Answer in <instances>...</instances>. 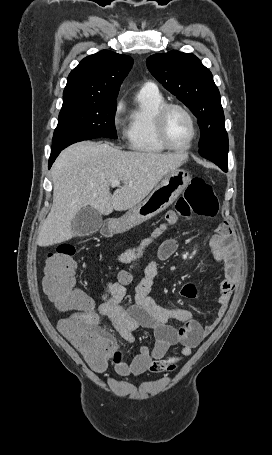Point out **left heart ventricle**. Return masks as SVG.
<instances>
[{
  "label": "left heart ventricle",
  "instance_id": "1",
  "mask_svg": "<svg viewBox=\"0 0 272 455\" xmlns=\"http://www.w3.org/2000/svg\"><path fill=\"white\" fill-rule=\"evenodd\" d=\"M166 131L171 143L179 147L185 146L192 136L191 123L179 109L169 111L166 118Z\"/></svg>",
  "mask_w": 272,
  "mask_h": 455
}]
</instances>
